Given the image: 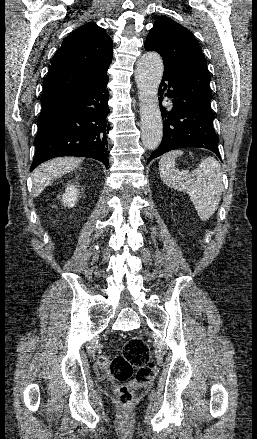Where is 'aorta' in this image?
<instances>
[{
	"label": "aorta",
	"mask_w": 257,
	"mask_h": 439,
	"mask_svg": "<svg viewBox=\"0 0 257 439\" xmlns=\"http://www.w3.org/2000/svg\"><path fill=\"white\" fill-rule=\"evenodd\" d=\"M164 71L161 56L153 51L144 53L137 62L135 80L137 83L141 139L145 148L154 150L162 140L163 123L158 102V88Z\"/></svg>",
	"instance_id": "762f6f07"
}]
</instances>
